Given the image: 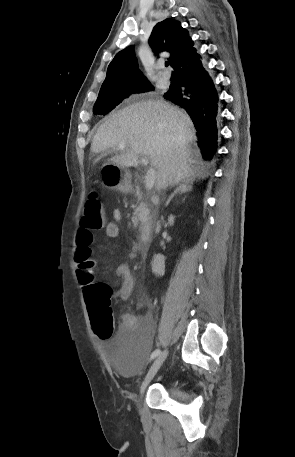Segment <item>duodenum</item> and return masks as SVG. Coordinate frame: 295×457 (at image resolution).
I'll list each match as a JSON object with an SVG mask.
<instances>
[{
	"label": "duodenum",
	"mask_w": 295,
	"mask_h": 457,
	"mask_svg": "<svg viewBox=\"0 0 295 457\" xmlns=\"http://www.w3.org/2000/svg\"><path fill=\"white\" fill-rule=\"evenodd\" d=\"M135 195L137 198H142V194L140 191H136ZM152 238H153V225L151 223H148L143 227V229L141 231V235H140V248H141L142 253L148 252L151 242H152Z\"/></svg>",
	"instance_id": "duodenum-1"
}]
</instances>
